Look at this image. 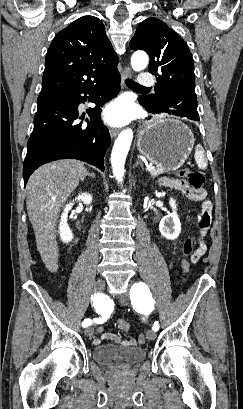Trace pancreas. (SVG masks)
<instances>
[{"instance_id":"pancreas-1","label":"pancreas","mask_w":243,"mask_h":409,"mask_svg":"<svg viewBox=\"0 0 243 409\" xmlns=\"http://www.w3.org/2000/svg\"><path fill=\"white\" fill-rule=\"evenodd\" d=\"M152 177H157L160 174H163L166 170L161 167H153V169L148 170Z\"/></svg>"}]
</instances>
